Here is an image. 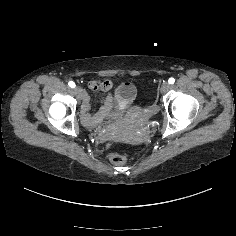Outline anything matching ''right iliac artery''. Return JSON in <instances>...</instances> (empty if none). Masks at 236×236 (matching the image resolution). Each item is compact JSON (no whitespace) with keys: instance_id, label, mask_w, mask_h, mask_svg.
<instances>
[{"instance_id":"1","label":"right iliac artery","mask_w":236,"mask_h":236,"mask_svg":"<svg viewBox=\"0 0 236 236\" xmlns=\"http://www.w3.org/2000/svg\"><path fill=\"white\" fill-rule=\"evenodd\" d=\"M68 85L71 87V88H74L76 85L73 81H69L68 82Z\"/></svg>"}]
</instances>
